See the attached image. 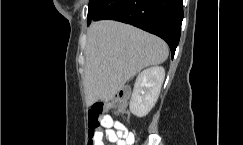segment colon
I'll use <instances>...</instances> for the list:
<instances>
[{
  "label": "colon",
  "instance_id": "1",
  "mask_svg": "<svg viewBox=\"0 0 243 145\" xmlns=\"http://www.w3.org/2000/svg\"><path fill=\"white\" fill-rule=\"evenodd\" d=\"M128 98L126 91H120L115 97L108 102L94 103L88 113V126H89V145H93V136L99 129L101 119L107 115L108 112L118 114L124 107Z\"/></svg>",
  "mask_w": 243,
  "mask_h": 145
}]
</instances>
